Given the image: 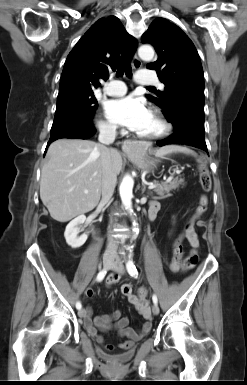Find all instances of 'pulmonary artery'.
I'll use <instances>...</instances> for the list:
<instances>
[{"instance_id":"1","label":"pulmonary artery","mask_w":247,"mask_h":385,"mask_svg":"<svg viewBox=\"0 0 247 385\" xmlns=\"http://www.w3.org/2000/svg\"><path fill=\"white\" fill-rule=\"evenodd\" d=\"M135 80L140 84L158 85L161 87V83L158 78L150 71L142 70L136 76ZM127 87L124 82L119 80H112L104 87V92L110 96H121L126 93Z\"/></svg>"}]
</instances>
